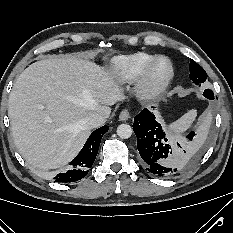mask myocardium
<instances>
[{
	"instance_id": "f54148a6",
	"label": "myocardium",
	"mask_w": 233,
	"mask_h": 233,
	"mask_svg": "<svg viewBox=\"0 0 233 233\" xmlns=\"http://www.w3.org/2000/svg\"><path fill=\"white\" fill-rule=\"evenodd\" d=\"M166 62L168 72L162 78L154 76V70L161 63ZM175 70L172 61L165 56L156 57L140 73L136 81V94L140 99H154L161 95L174 78Z\"/></svg>"
}]
</instances>
